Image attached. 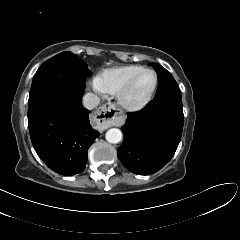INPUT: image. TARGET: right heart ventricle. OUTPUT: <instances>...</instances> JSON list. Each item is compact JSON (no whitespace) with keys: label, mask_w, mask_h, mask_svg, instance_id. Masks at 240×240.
<instances>
[{"label":"right heart ventricle","mask_w":240,"mask_h":240,"mask_svg":"<svg viewBox=\"0 0 240 240\" xmlns=\"http://www.w3.org/2000/svg\"><path fill=\"white\" fill-rule=\"evenodd\" d=\"M142 69L144 68L139 65L106 69L96 78V82L101 91L108 94H117L122 86Z\"/></svg>","instance_id":"obj_1"}]
</instances>
